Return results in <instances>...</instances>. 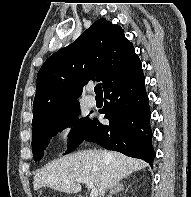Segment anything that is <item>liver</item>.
Instances as JSON below:
<instances>
[{
	"label": "liver",
	"instance_id": "obj_1",
	"mask_svg": "<svg viewBox=\"0 0 191 197\" xmlns=\"http://www.w3.org/2000/svg\"><path fill=\"white\" fill-rule=\"evenodd\" d=\"M146 166L142 160L127 157L119 152L82 150L59 158L39 170L34 176L33 188L38 190L49 187L75 194L82 188L76 179H88L93 182L99 195H104L106 190L120 180Z\"/></svg>",
	"mask_w": 191,
	"mask_h": 197
}]
</instances>
